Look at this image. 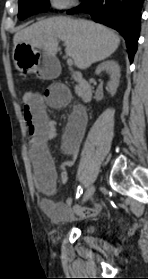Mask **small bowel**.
<instances>
[{
	"label": "small bowel",
	"mask_w": 148,
	"mask_h": 279,
	"mask_svg": "<svg viewBox=\"0 0 148 279\" xmlns=\"http://www.w3.org/2000/svg\"><path fill=\"white\" fill-rule=\"evenodd\" d=\"M70 101V92L63 84H52L41 94H35L30 103H24V119L30 134V157L35 170V187L49 195L53 192L57 179L54 161L49 153L47 144L56 136V128L49 118L47 107L61 108ZM88 118L83 108H77L70 115L63 136V150L68 159L60 165L59 178L61 182L67 183L69 177L67 169L71 167L78 155L81 142L87 127ZM73 198L65 202H54L45 198L41 202L42 209L56 221L69 218L73 206ZM101 205L94 208H85L79 211L81 216L91 217L97 215Z\"/></svg>",
	"instance_id": "small-bowel-1"
}]
</instances>
